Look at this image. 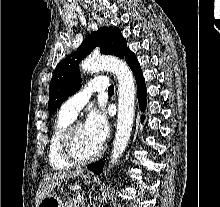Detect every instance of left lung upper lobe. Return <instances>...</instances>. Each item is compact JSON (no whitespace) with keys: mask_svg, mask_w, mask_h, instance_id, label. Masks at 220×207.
Listing matches in <instances>:
<instances>
[{"mask_svg":"<svg viewBox=\"0 0 220 207\" xmlns=\"http://www.w3.org/2000/svg\"><path fill=\"white\" fill-rule=\"evenodd\" d=\"M96 46L101 53L126 57L130 52L127 41L117 27H102L88 35L76 52L70 54L56 66L49 88L48 110L51 114L70 95L79 90L81 78L78 65Z\"/></svg>","mask_w":220,"mask_h":207,"instance_id":"left-lung-upper-lobe-1","label":"left lung upper lobe"}]
</instances>
